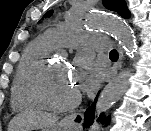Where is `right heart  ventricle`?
<instances>
[{
  "label": "right heart ventricle",
  "mask_w": 151,
  "mask_h": 131,
  "mask_svg": "<svg viewBox=\"0 0 151 131\" xmlns=\"http://www.w3.org/2000/svg\"><path fill=\"white\" fill-rule=\"evenodd\" d=\"M53 48L44 37L35 39L25 48L11 91L13 109L24 111L39 107L33 94V82Z\"/></svg>",
  "instance_id": "right-heart-ventricle-1"
}]
</instances>
